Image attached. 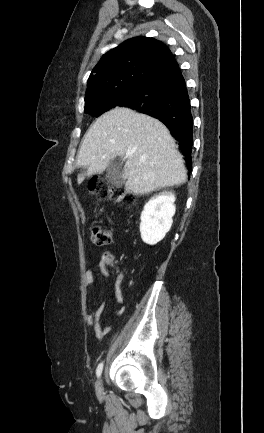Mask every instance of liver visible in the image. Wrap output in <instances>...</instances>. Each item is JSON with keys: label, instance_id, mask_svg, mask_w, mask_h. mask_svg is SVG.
I'll return each instance as SVG.
<instances>
[{"label": "liver", "instance_id": "obj_1", "mask_svg": "<svg viewBox=\"0 0 264 433\" xmlns=\"http://www.w3.org/2000/svg\"><path fill=\"white\" fill-rule=\"evenodd\" d=\"M123 169L125 188L136 195L177 186L187 180L182 155L168 129L158 120L128 108L112 109L91 125L77 155V166L87 168L79 174L102 173L117 156H126Z\"/></svg>", "mask_w": 264, "mask_h": 433}]
</instances>
